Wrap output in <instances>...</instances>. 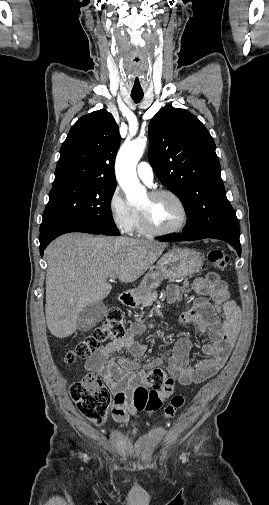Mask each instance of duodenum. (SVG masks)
Wrapping results in <instances>:
<instances>
[{"label":"duodenum","instance_id":"obj_1","mask_svg":"<svg viewBox=\"0 0 269 505\" xmlns=\"http://www.w3.org/2000/svg\"><path fill=\"white\" fill-rule=\"evenodd\" d=\"M119 302L127 307H134L136 305V298L131 292H124L118 297Z\"/></svg>","mask_w":269,"mask_h":505}]
</instances>
